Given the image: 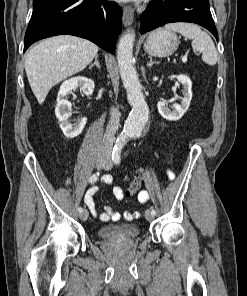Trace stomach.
<instances>
[{
	"label": "stomach",
	"mask_w": 247,
	"mask_h": 296,
	"mask_svg": "<svg viewBox=\"0 0 247 296\" xmlns=\"http://www.w3.org/2000/svg\"><path fill=\"white\" fill-rule=\"evenodd\" d=\"M178 45V37L174 32L159 28L147 37L144 50L151 56L168 57L177 50Z\"/></svg>",
	"instance_id": "1"
}]
</instances>
